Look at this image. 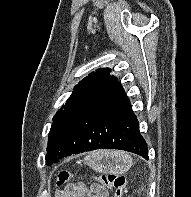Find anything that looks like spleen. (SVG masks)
I'll return each mask as SVG.
<instances>
[{
	"instance_id": "obj_1",
	"label": "spleen",
	"mask_w": 191,
	"mask_h": 197,
	"mask_svg": "<svg viewBox=\"0 0 191 197\" xmlns=\"http://www.w3.org/2000/svg\"><path fill=\"white\" fill-rule=\"evenodd\" d=\"M127 155V154H126ZM127 157L130 159V161L132 162V158L129 156V155H127Z\"/></svg>"
}]
</instances>
